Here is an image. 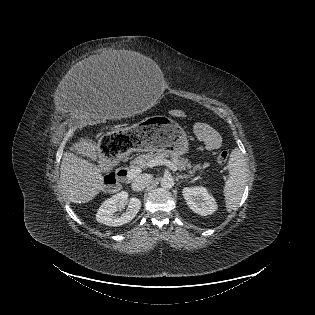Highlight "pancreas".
<instances>
[{"label":"pancreas","mask_w":315,"mask_h":315,"mask_svg":"<svg viewBox=\"0 0 315 315\" xmlns=\"http://www.w3.org/2000/svg\"><path fill=\"white\" fill-rule=\"evenodd\" d=\"M168 156L169 154L167 152H159V151L156 153L150 152L147 154H142L132 161V166L146 167L149 162L153 160H158L164 157H168ZM170 157H171L170 158L171 162L177 166L178 170L187 171L190 174H193L198 170L205 169L206 167L209 166L208 163H205L203 165L197 164L195 166H192V164L188 162L187 159L181 158L178 155H171Z\"/></svg>","instance_id":"cf45deb5"}]
</instances>
